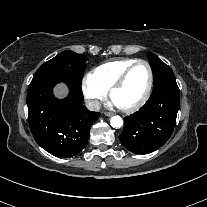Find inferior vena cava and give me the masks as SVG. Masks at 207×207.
<instances>
[{
	"instance_id": "602c4592",
	"label": "inferior vena cava",
	"mask_w": 207,
	"mask_h": 207,
	"mask_svg": "<svg viewBox=\"0 0 207 207\" xmlns=\"http://www.w3.org/2000/svg\"><path fill=\"white\" fill-rule=\"evenodd\" d=\"M85 105L90 111H99L101 107V104L98 100H87Z\"/></svg>"
}]
</instances>
